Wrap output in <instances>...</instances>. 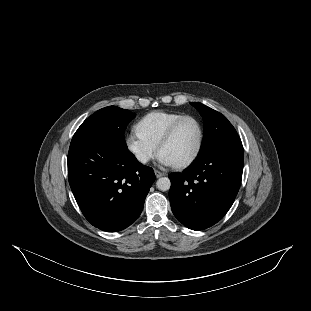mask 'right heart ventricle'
<instances>
[{
    "instance_id": "1",
    "label": "right heart ventricle",
    "mask_w": 311,
    "mask_h": 311,
    "mask_svg": "<svg viewBox=\"0 0 311 311\" xmlns=\"http://www.w3.org/2000/svg\"><path fill=\"white\" fill-rule=\"evenodd\" d=\"M184 115L177 112H150L136 122L135 130L142 140L157 148L171 126Z\"/></svg>"
}]
</instances>
